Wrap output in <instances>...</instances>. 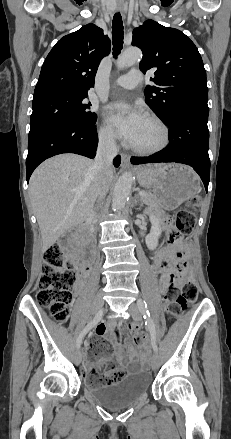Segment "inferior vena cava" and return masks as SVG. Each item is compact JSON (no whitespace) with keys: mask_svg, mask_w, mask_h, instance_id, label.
Listing matches in <instances>:
<instances>
[{"mask_svg":"<svg viewBox=\"0 0 231 439\" xmlns=\"http://www.w3.org/2000/svg\"><path fill=\"white\" fill-rule=\"evenodd\" d=\"M118 149L116 147L115 139L111 135H105L99 139L97 153L93 168L98 173L99 189H98V202L104 200L109 190V178L112 174V162L117 155ZM98 208V207H97ZM97 208H95L91 214V218H95L97 214Z\"/></svg>","mask_w":231,"mask_h":439,"instance_id":"1","label":"inferior vena cava"}]
</instances>
